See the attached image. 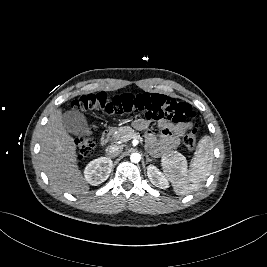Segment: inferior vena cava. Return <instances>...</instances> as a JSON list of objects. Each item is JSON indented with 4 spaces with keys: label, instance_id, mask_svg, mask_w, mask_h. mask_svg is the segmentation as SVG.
I'll use <instances>...</instances> for the list:
<instances>
[{
    "label": "inferior vena cava",
    "instance_id": "inferior-vena-cava-1",
    "mask_svg": "<svg viewBox=\"0 0 267 267\" xmlns=\"http://www.w3.org/2000/svg\"><path fill=\"white\" fill-rule=\"evenodd\" d=\"M123 150V147L121 145H110L106 148V154L110 157V158H114L117 155H119Z\"/></svg>",
    "mask_w": 267,
    "mask_h": 267
}]
</instances>
